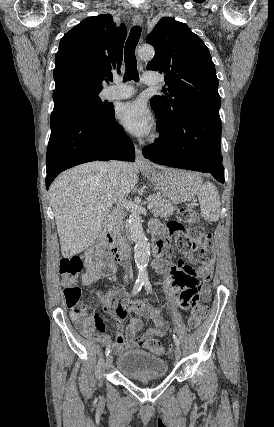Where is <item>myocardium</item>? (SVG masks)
Masks as SVG:
<instances>
[{"mask_svg": "<svg viewBox=\"0 0 274 427\" xmlns=\"http://www.w3.org/2000/svg\"><path fill=\"white\" fill-rule=\"evenodd\" d=\"M164 140V133L162 130L157 129L155 130L151 136L148 138V144L150 145H158Z\"/></svg>", "mask_w": 274, "mask_h": 427, "instance_id": "obj_1", "label": "myocardium"}]
</instances>
